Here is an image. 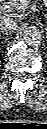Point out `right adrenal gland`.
Returning a JSON list of instances; mask_svg holds the SVG:
<instances>
[{
    "mask_svg": "<svg viewBox=\"0 0 47 129\" xmlns=\"http://www.w3.org/2000/svg\"><path fill=\"white\" fill-rule=\"evenodd\" d=\"M1 34H5L6 36H8V33L7 32L4 33V31H1Z\"/></svg>",
    "mask_w": 47,
    "mask_h": 129,
    "instance_id": "right-adrenal-gland-1",
    "label": "right adrenal gland"
}]
</instances>
